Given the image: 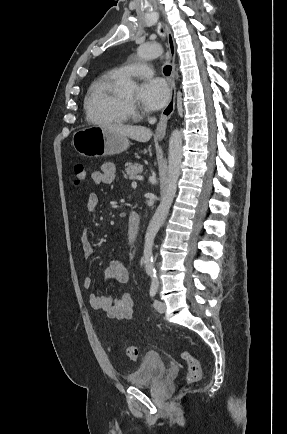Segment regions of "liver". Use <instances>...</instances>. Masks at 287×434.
I'll use <instances>...</instances> for the list:
<instances>
[{
  "mask_svg": "<svg viewBox=\"0 0 287 434\" xmlns=\"http://www.w3.org/2000/svg\"><path fill=\"white\" fill-rule=\"evenodd\" d=\"M102 127L108 128L127 138H131L138 142H147L152 137V131L143 126H132L123 124H108Z\"/></svg>",
  "mask_w": 287,
  "mask_h": 434,
  "instance_id": "obj_1",
  "label": "liver"
}]
</instances>
